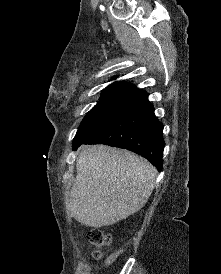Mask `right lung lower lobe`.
<instances>
[{"label":"right lung lower lobe","mask_w":221,"mask_h":274,"mask_svg":"<svg viewBox=\"0 0 221 274\" xmlns=\"http://www.w3.org/2000/svg\"><path fill=\"white\" fill-rule=\"evenodd\" d=\"M82 144H105L128 149L162 170L163 125L154 114L148 94L132 102L116 119Z\"/></svg>","instance_id":"right-lung-lower-lobe-1"}]
</instances>
